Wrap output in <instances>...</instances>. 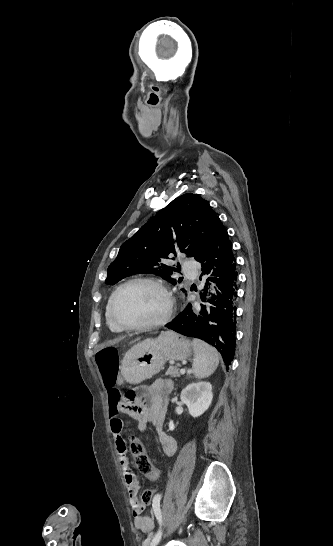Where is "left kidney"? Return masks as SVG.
Wrapping results in <instances>:
<instances>
[{
    "label": "left kidney",
    "mask_w": 333,
    "mask_h": 546,
    "mask_svg": "<svg viewBox=\"0 0 333 546\" xmlns=\"http://www.w3.org/2000/svg\"><path fill=\"white\" fill-rule=\"evenodd\" d=\"M180 398L187 405L190 415L198 417L211 405L212 386L209 382L192 383L182 390ZM169 428L170 430L174 429L172 421L169 423Z\"/></svg>",
    "instance_id": "1"
}]
</instances>
